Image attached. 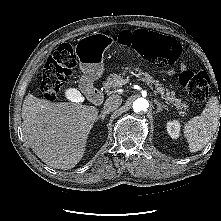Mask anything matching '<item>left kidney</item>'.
<instances>
[{"mask_svg":"<svg viewBox=\"0 0 221 221\" xmlns=\"http://www.w3.org/2000/svg\"><path fill=\"white\" fill-rule=\"evenodd\" d=\"M166 127L168 134L171 136V138L177 139L179 137L180 128H181L179 121L177 120L168 121Z\"/></svg>","mask_w":221,"mask_h":221,"instance_id":"5707ae66","label":"left kidney"}]
</instances>
